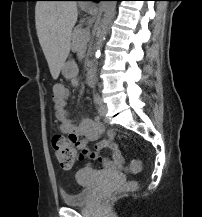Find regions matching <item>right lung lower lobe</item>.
Here are the masks:
<instances>
[{
	"instance_id": "obj_1",
	"label": "right lung lower lobe",
	"mask_w": 202,
	"mask_h": 217,
	"mask_svg": "<svg viewBox=\"0 0 202 217\" xmlns=\"http://www.w3.org/2000/svg\"><path fill=\"white\" fill-rule=\"evenodd\" d=\"M73 1H77V0H73ZM83 1H100V0H83Z\"/></svg>"
}]
</instances>
